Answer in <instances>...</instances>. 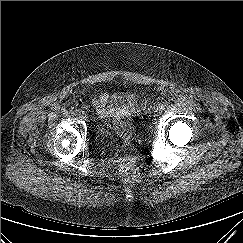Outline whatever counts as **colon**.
<instances>
[{
  "label": "colon",
  "instance_id": "1",
  "mask_svg": "<svg viewBox=\"0 0 243 243\" xmlns=\"http://www.w3.org/2000/svg\"><path fill=\"white\" fill-rule=\"evenodd\" d=\"M118 175L121 180L131 182L140 176V170L133 159L125 158L120 162Z\"/></svg>",
  "mask_w": 243,
  "mask_h": 243
}]
</instances>
